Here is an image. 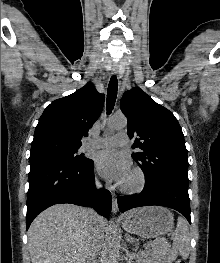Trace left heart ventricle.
Segmentation results:
<instances>
[{
    "label": "left heart ventricle",
    "mask_w": 220,
    "mask_h": 263,
    "mask_svg": "<svg viewBox=\"0 0 220 263\" xmlns=\"http://www.w3.org/2000/svg\"><path fill=\"white\" fill-rule=\"evenodd\" d=\"M136 183V177L130 173L129 176L125 179V181L122 183V185L125 186H132Z\"/></svg>",
    "instance_id": "obj_1"
}]
</instances>
